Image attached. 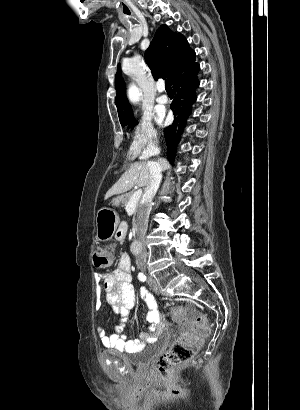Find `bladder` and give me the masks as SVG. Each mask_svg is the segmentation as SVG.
Returning a JSON list of instances; mask_svg holds the SVG:
<instances>
[{
  "mask_svg": "<svg viewBox=\"0 0 300 410\" xmlns=\"http://www.w3.org/2000/svg\"><path fill=\"white\" fill-rule=\"evenodd\" d=\"M156 352L155 347L147 346L135 355L123 356V360L134 367H144L151 361Z\"/></svg>",
  "mask_w": 300,
  "mask_h": 410,
  "instance_id": "obj_1",
  "label": "bladder"
}]
</instances>
